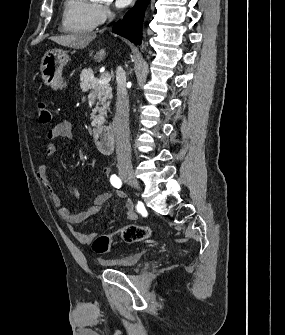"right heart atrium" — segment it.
I'll use <instances>...</instances> for the list:
<instances>
[{"mask_svg": "<svg viewBox=\"0 0 285 335\" xmlns=\"http://www.w3.org/2000/svg\"><path fill=\"white\" fill-rule=\"evenodd\" d=\"M113 16L114 10L110 1H97L91 9V17L97 26L104 24Z\"/></svg>", "mask_w": 285, "mask_h": 335, "instance_id": "right-heart-atrium-1", "label": "right heart atrium"}]
</instances>
